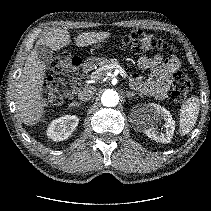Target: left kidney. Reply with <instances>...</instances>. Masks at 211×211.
I'll list each match as a JSON object with an SVG mask.
<instances>
[{"label":"left kidney","instance_id":"5707ae66","mask_svg":"<svg viewBox=\"0 0 211 211\" xmlns=\"http://www.w3.org/2000/svg\"><path fill=\"white\" fill-rule=\"evenodd\" d=\"M148 109L150 113L143 118L145 120V134L157 142L169 143L175 130V121L172 119L171 114L158 104L150 103ZM159 119L165 122L164 132H159L156 128Z\"/></svg>","mask_w":211,"mask_h":211}]
</instances>
